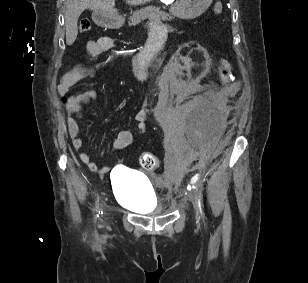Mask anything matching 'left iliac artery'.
<instances>
[{"label": "left iliac artery", "mask_w": 308, "mask_h": 283, "mask_svg": "<svg viewBox=\"0 0 308 283\" xmlns=\"http://www.w3.org/2000/svg\"><path fill=\"white\" fill-rule=\"evenodd\" d=\"M194 189L196 191V200H197L199 214L201 215L202 218H204L205 215H204V211H203L202 194H201L200 191L197 190L196 187H194Z\"/></svg>", "instance_id": "obj_1"}]
</instances>
